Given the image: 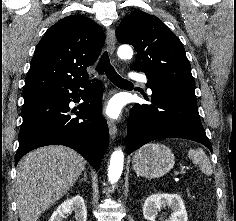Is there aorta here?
<instances>
[{"mask_svg":"<svg viewBox=\"0 0 236 221\" xmlns=\"http://www.w3.org/2000/svg\"><path fill=\"white\" fill-rule=\"evenodd\" d=\"M121 59H130L133 55V50L129 45H121L117 51ZM124 165V153L121 149L115 150L110 158V165L108 167V179L110 183H115L119 180Z\"/></svg>","mask_w":236,"mask_h":221,"instance_id":"obj_1","label":"aorta"}]
</instances>
